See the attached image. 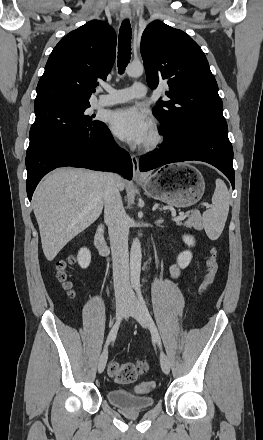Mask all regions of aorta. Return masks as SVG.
Masks as SVG:
<instances>
[{
  "mask_svg": "<svg viewBox=\"0 0 263 440\" xmlns=\"http://www.w3.org/2000/svg\"><path fill=\"white\" fill-rule=\"evenodd\" d=\"M143 72L144 66L141 63H131L126 67V73L130 77H139ZM141 258V244L139 239L135 238L130 251V280L136 288L140 287Z\"/></svg>",
  "mask_w": 263,
  "mask_h": 440,
  "instance_id": "aorta-1",
  "label": "aorta"
}]
</instances>
